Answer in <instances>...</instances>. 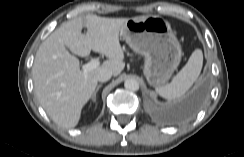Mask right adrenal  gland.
Masks as SVG:
<instances>
[{"mask_svg":"<svg viewBox=\"0 0 244 157\" xmlns=\"http://www.w3.org/2000/svg\"><path fill=\"white\" fill-rule=\"evenodd\" d=\"M102 84H99L95 90V92L93 93L92 95V100L95 102L96 101V95H97V92L99 91V89L101 88Z\"/></svg>","mask_w":244,"mask_h":157,"instance_id":"2a0ac1e0","label":"right adrenal gland"}]
</instances>
